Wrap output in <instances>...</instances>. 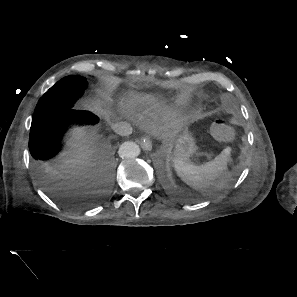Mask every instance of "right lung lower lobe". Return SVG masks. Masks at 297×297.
I'll return each instance as SVG.
<instances>
[{
    "label": "right lung lower lobe",
    "instance_id": "1",
    "mask_svg": "<svg viewBox=\"0 0 297 297\" xmlns=\"http://www.w3.org/2000/svg\"><path fill=\"white\" fill-rule=\"evenodd\" d=\"M77 99L57 106L48 116L32 120L29 150L38 174H49L62 163L58 158L64 148L63 138L74 125H95L99 118L91 112L74 108ZM106 149L102 152V157Z\"/></svg>",
    "mask_w": 297,
    "mask_h": 297
}]
</instances>
